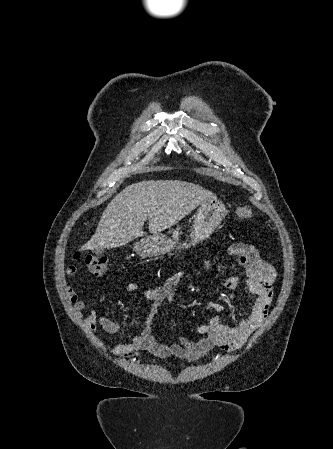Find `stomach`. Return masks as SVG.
<instances>
[{
  "instance_id": "stomach-1",
  "label": "stomach",
  "mask_w": 333,
  "mask_h": 449,
  "mask_svg": "<svg viewBox=\"0 0 333 449\" xmlns=\"http://www.w3.org/2000/svg\"><path fill=\"white\" fill-rule=\"evenodd\" d=\"M227 214L224 204L219 200L203 202L194 216V223L190 233L191 241L183 243L177 248H187L207 239L220 225ZM176 247V241L164 234H157L140 240L134 246V251L141 257L158 256Z\"/></svg>"
}]
</instances>
